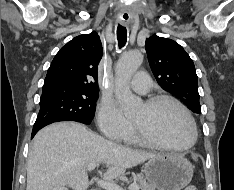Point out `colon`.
Returning <instances> with one entry per match:
<instances>
[{"mask_svg": "<svg viewBox=\"0 0 234 190\" xmlns=\"http://www.w3.org/2000/svg\"><path fill=\"white\" fill-rule=\"evenodd\" d=\"M184 190H197V189H196V187H195V186H193V185H189V186L185 187V189H184Z\"/></svg>", "mask_w": 234, "mask_h": 190, "instance_id": "5ec220e1", "label": "colon"}]
</instances>
